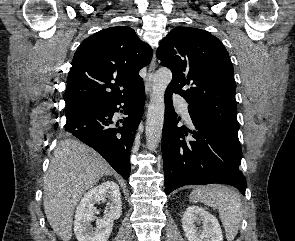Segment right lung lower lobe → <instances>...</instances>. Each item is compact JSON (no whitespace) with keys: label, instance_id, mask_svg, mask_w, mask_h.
<instances>
[{"label":"right lung lower lobe","instance_id":"obj_1","mask_svg":"<svg viewBox=\"0 0 295 241\" xmlns=\"http://www.w3.org/2000/svg\"><path fill=\"white\" fill-rule=\"evenodd\" d=\"M144 101V85H140L126 96L93 104L66 117L65 131L95 149L127 180L130 174V149L141 120ZM115 112L128 116L116 122L113 120Z\"/></svg>","mask_w":295,"mask_h":241}]
</instances>
